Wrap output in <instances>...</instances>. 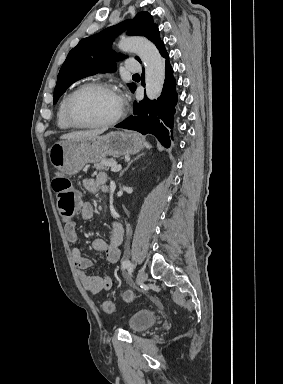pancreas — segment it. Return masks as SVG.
<instances>
[{
	"label": "pancreas",
	"mask_w": 283,
	"mask_h": 384,
	"mask_svg": "<svg viewBox=\"0 0 283 384\" xmlns=\"http://www.w3.org/2000/svg\"><path fill=\"white\" fill-rule=\"evenodd\" d=\"M113 162L114 160H101V162H98V164H94L93 168H95V170H100V172H102V170L107 172L109 168H112Z\"/></svg>",
	"instance_id": "pancreas-1"
}]
</instances>
